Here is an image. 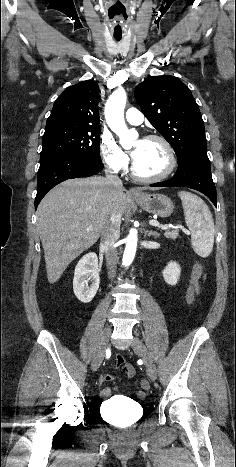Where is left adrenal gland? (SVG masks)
Masks as SVG:
<instances>
[{"mask_svg":"<svg viewBox=\"0 0 236 467\" xmlns=\"http://www.w3.org/2000/svg\"><path fill=\"white\" fill-rule=\"evenodd\" d=\"M145 235H147L148 237L150 236H153L155 239L159 237V234L155 231H145Z\"/></svg>","mask_w":236,"mask_h":467,"instance_id":"a2214340","label":"left adrenal gland"}]
</instances>
